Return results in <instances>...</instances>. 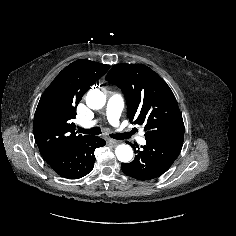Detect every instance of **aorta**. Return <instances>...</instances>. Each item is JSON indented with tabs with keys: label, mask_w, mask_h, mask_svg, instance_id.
<instances>
[{
	"label": "aorta",
	"mask_w": 236,
	"mask_h": 236,
	"mask_svg": "<svg viewBox=\"0 0 236 236\" xmlns=\"http://www.w3.org/2000/svg\"><path fill=\"white\" fill-rule=\"evenodd\" d=\"M105 94L97 89L90 90L86 96V104L91 109H100L105 105ZM115 154L120 162L127 163L133 158V150L129 145L121 144L115 149Z\"/></svg>",
	"instance_id": "762f6f07"
}]
</instances>
